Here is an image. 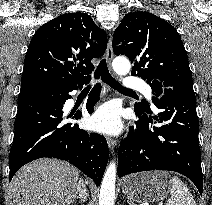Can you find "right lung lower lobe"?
<instances>
[{
    "label": "right lung lower lobe",
    "mask_w": 212,
    "mask_h": 205,
    "mask_svg": "<svg viewBox=\"0 0 212 205\" xmlns=\"http://www.w3.org/2000/svg\"><path fill=\"white\" fill-rule=\"evenodd\" d=\"M89 81V79L87 80ZM79 83H44L21 90L15 119V135L10 150L9 181L19 168L42 157L59 158L75 165L100 185L108 162V145L104 136L79 129L66 122L80 119L82 113L63 111L69 92L81 89ZM101 85L97 84L87 100V110L99 100Z\"/></svg>",
    "instance_id": "obj_1"
}]
</instances>
